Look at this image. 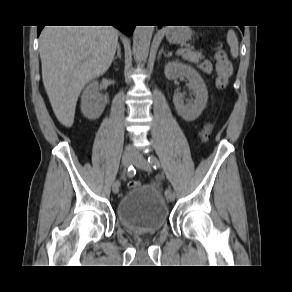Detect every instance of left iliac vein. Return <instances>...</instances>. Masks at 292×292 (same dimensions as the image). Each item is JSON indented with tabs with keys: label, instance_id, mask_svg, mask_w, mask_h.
<instances>
[{
	"label": "left iliac vein",
	"instance_id": "left-iliac-vein-1",
	"mask_svg": "<svg viewBox=\"0 0 292 292\" xmlns=\"http://www.w3.org/2000/svg\"><path fill=\"white\" fill-rule=\"evenodd\" d=\"M133 164L137 166L139 169L145 170V171H151V164L148 162L146 158H144L140 153H135L133 156ZM166 198L168 201L173 202L175 200V194L170 191Z\"/></svg>",
	"mask_w": 292,
	"mask_h": 292
}]
</instances>
